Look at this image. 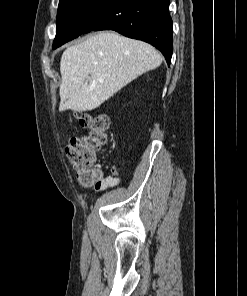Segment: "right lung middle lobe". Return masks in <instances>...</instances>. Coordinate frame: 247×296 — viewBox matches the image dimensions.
I'll use <instances>...</instances> for the list:
<instances>
[{
  "label": "right lung middle lobe",
  "mask_w": 247,
  "mask_h": 296,
  "mask_svg": "<svg viewBox=\"0 0 247 296\" xmlns=\"http://www.w3.org/2000/svg\"><path fill=\"white\" fill-rule=\"evenodd\" d=\"M107 0H59L53 49L81 35L92 13Z\"/></svg>",
  "instance_id": "obj_1"
}]
</instances>
